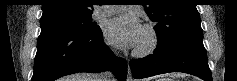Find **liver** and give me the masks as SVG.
Instances as JSON below:
<instances>
[{"instance_id": "obj_1", "label": "liver", "mask_w": 237, "mask_h": 81, "mask_svg": "<svg viewBox=\"0 0 237 81\" xmlns=\"http://www.w3.org/2000/svg\"><path fill=\"white\" fill-rule=\"evenodd\" d=\"M62 81H102L101 74L77 73L62 78Z\"/></svg>"}]
</instances>
